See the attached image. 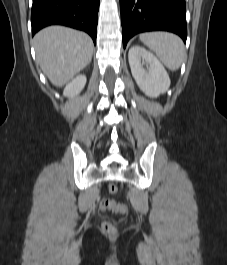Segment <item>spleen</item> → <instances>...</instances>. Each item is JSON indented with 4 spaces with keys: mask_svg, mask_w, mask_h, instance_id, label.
Masks as SVG:
<instances>
[{
    "mask_svg": "<svg viewBox=\"0 0 227 265\" xmlns=\"http://www.w3.org/2000/svg\"><path fill=\"white\" fill-rule=\"evenodd\" d=\"M140 40L154 51L170 70H177L185 57V47L180 37L169 32H150L140 35Z\"/></svg>",
    "mask_w": 227,
    "mask_h": 265,
    "instance_id": "obj_1",
    "label": "spleen"
}]
</instances>
